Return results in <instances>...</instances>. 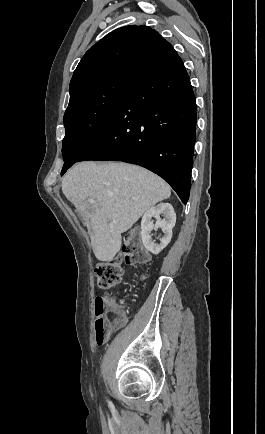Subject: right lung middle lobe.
<instances>
[{
    "label": "right lung middle lobe",
    "instance_id": "right-lung-middle-lobe-1",
    "mask_svg": "<svg viewBox=\"0 0 265 434\" xmlns=\"http://www.w3.org/2000/svg\"><path fill=\"white\" fill-rule=\"evenodd\" d=\"M134 75H111L70 89L63 117V175L95 143L115 116Z\"/></svg>",
    "mask_w": 265,
    "mask_h": 434
}]
</instances>
